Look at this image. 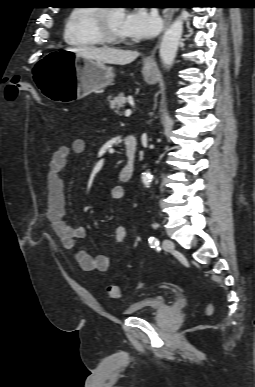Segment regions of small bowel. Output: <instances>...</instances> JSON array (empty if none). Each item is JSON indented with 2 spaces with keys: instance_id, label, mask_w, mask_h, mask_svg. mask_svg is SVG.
Listing matches in <instances>:
<instances>
[{
  "instance_id": "small-bowel-1",
  "label": "small bowel",
  "mask_w": 255,
  "mask_h": 387,
  "mask_svg": "<svg viewBox=\"0 0 255 387\" xmlns=\"http://www.w3.org/2000/svg\"><path fill=\"white\" fill-rule=\"evenodd\" d=\"M86 143L83 139H75L71 146H60L52 154L46 173L47 183V219L54 234L60 241L62 249L71 253L79 266L84 271H106L110 264L109 256L106 254L90 255L84 250L77 248V240L85 236L82 226H73L66 219L65 186L62 174L65 172L71 153L83 154ZM111 197L115 200L124 198V190L121 186L111 189ZM127 231L122 225L115 228L113 246L119 247L126 239Z\"/></svg>"
}]
</instances>
